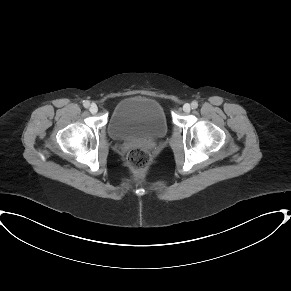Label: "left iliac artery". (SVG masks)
<instances>
[{"label": "left iliac artery", "instance_id": "left-iliac-artery-1", "mask_svg": "<svg viewBox=\"0 0 291 291\" xmlns=\"http://www.w3.org/2000/svg\"><path fill=\"white\" fill-rule=\"evenodd\" d=\"M191 107H192V109H196V108L198 107V102L194 100V101L191 103Z\"/></svg>", "mask_w": 291, "mask_h": 291}]
</instances>
